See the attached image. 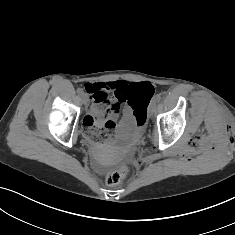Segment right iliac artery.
<instances>
[{"mask_svg":"<svg viewBox=\"0 0 235 235\" xmlns=\"http://www.w3.org/2000/svg\"><path fill=\"white\" fill-rule=\"evenodd\" d=\"M77 93H78L79 95H83V94H84V91H83L82 88H78V89H77Z\"/></svg>","mask_w":235,"mask_h":235,"instance_id":"1","label":"right iliac artery"}]
</instances>
